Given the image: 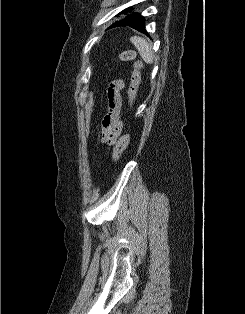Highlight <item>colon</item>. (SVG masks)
<instances>
[{
  "instance_id": "obj_1",
  "label": "colon",
  "mask_w": 245,
  "mask_h": 314,
  "mask_svg": "<svg viewBox=\"0 0 245 314\" xmlns=\"http://www.w3.org/2000/svg\"><path fill=\"white\" fill-rule=\"evenodd\" d=\"M117 60L119 61H133V71L131 73V80H130V86L128 90V96L130 99L131 104H133L137 91L140 85L141 81V75H140V68L141 63L136 59V53L132 49H127L122 51L118 57ZM130 134H124L120 137V139L116 142L113 151H112V159L113 161L119 160L121 157L123 151L128 147L130 143Z\"/></svg>"
}]
</instances>
